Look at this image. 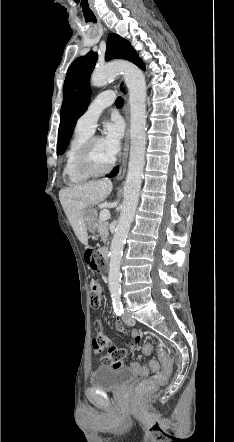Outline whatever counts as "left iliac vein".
Instances as JSON below:
<instances>
[{"label": "left iliac vein", "instance_id": "4c4485c4", "mask_svg": "<svg viewBox=\"0 0 234 442\" xmlns=\"http://www.w3.org/2000/svg\"><path fill=\"white\" fill-rule=\"evenodd\" d=\"M122 319H123L124 323L129 326H133L135 324V320L132 318L130 313L127 311H125L124 314L122 315Z\"/></svg>", "mask_w": 234, "mask_h": 442}]
</instances>
